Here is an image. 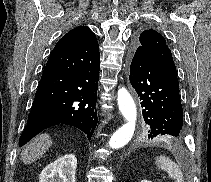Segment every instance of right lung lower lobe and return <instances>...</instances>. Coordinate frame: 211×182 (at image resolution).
Returning <instances> with one entry per match:
<instances>
[{"label":"right lung lower lobe","instance_id":"1","mask_svg":"<svg viewBox=\"0 0 211 182\" xmlns=\"http://www.w3.org/2000/svg\"><path fill=\"white\" fill-rule=\"evenodd\" d=\"M99 71V45L93 32L75 41L60 39L45 66L19 146L59 124L79 128L90 140L98 122Z\"/></svg>","mask_w":211,"mask_h":182}]
</instances>
